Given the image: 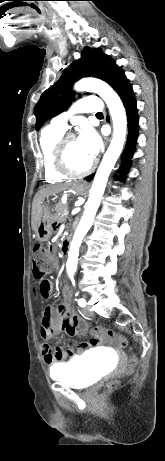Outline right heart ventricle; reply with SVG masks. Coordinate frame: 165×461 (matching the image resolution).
<instances>
[{
	"label": "right heart ventricle",
	"mask_w": 165,
	"mask_h": 461,
	"mask_svg": "<svg viewBox=\"0 0 165 461\" xmlns=\"http://www.w3.org/2000/svg\"><path fill=\"white\" fill-rule=\"evenodd\" d=\"M64 134V130L52 124L45 127L39 138V147L43 161L44 175L47 182L57 183L66 179V176L56 170L53 164V151L56 142Z\"/></svg>",
	"instance_id": "obj_1"
}]
</instances>
